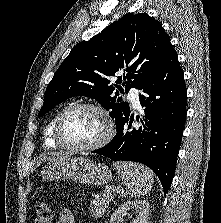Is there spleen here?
Segmentation results:
<instances>
[{
  "mask_svg": "<svg viewBox=\"0 0 221 223\" xmlns=\"http://www.w3.org/2000/svg\"><path fill=\"white\" fill-rule=\"evenodd\" d=\"M113 165L132 197L143 196L152 188L153 177L145 166L132 162H115Z\"/></svg>",
  "mask_w": 221,
  "mask_h": 223,
  "instance_id": "1",
  "label": "spleen"
}]
</instances>
